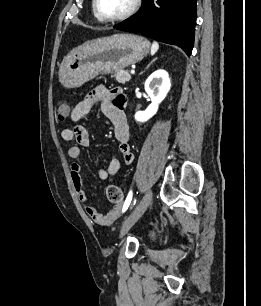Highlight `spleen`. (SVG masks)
Instances as JSON below:
<instances>
[{"label": "spleen", "instance_id": "1", "mask_svg": "<svg viewBox=\"0 0 261 306\" xmlns=\"http://www.w3.org/2000/svg\"><path fill=\"white\" fill-rule=\"evenodd\" d=\"M159 49V44L158 42H153L151 46V55H154Z\"/></svg>", "mask_w": 261, "mask_h": 306}]
</instances>
